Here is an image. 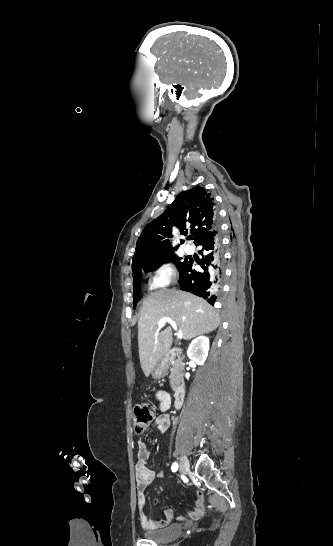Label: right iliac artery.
<instances>
[{
    "label": "right iliac artery",
    "mask_w": 333,
    "mask_h": 546,
    "mask_svg": "<svg viewBox=\"0 0 333 546\" xmlns=\"http://www.w3.org/2000/svg\"><path fill=\"white\" fill-rule=\"evenodd\" d=\"M178 467H179V466H178L177 463H173L172 468H171V469H172V472H176V471L178 470Z\"/></svg>",
    "instance_id": "right-iliac-artery-1"
}]
</instances>
